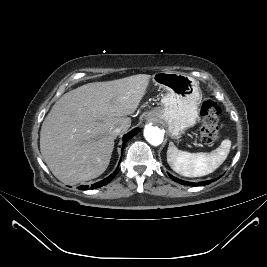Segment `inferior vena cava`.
Masks as SVG:
<instances>
[{
  "mask_svg": "<svg viewBox=\"0 0 267 267\" xmlns=\"http://www.w3.org/2000/svg\"><path fill=\"white\" fill-rule=\"evenodd\" d=\"M128 128H129L128 124L117 125L112 128L111 133L114 136H118L120 133L126 131Z\"/></svg>",
  "mask_w": 267,
  "mask_h": 267,
  "instance_id": "obj_1",
  "label": "inferior vena cava"
}]
</instances>
